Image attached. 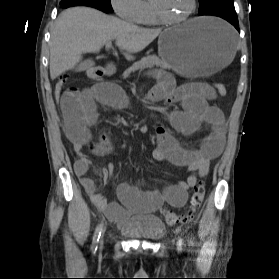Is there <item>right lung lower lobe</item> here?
Returning a JSON list of instances; mask_svg holds the SVG:
<instances>
[{
    "instance_id": "98d812e1",
    "label": "right lung lower lobe",
    "mask_w": 279,
    "mask_h": 279,
    "mask_svg": "<svg viewBox=\"0 0 279 279\" xmlns=\"http://www.w3.org/2000/svg\"><path fill=\"white\" fill-rule=\"evenodd\" d=\"M60 5L62 8H68L71 6H89L97 8L103 12H108L96 0H62Z\"/></svg>"
}]
</instances>
